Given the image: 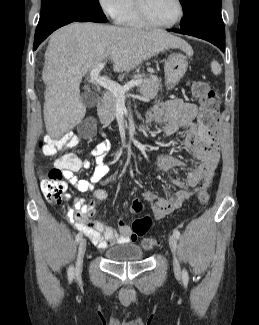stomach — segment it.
Returning a JSON list of instances; mask_svg holds the SVG:
<instances>
[{"instance_id": "stomach-1", "label": "stomach", "mask_w": 259, "mask_h": 325, "mask_svg": "<svg viewBox=\"0 0 259 325\" xmlns=\"http://www.w3.org/2000/svg\"><path fill=\"white\" fill-rule=\"evenodd\" d=\"M188 62L184 55L172 53L164 65L165 84L168 89L176 86L187 70Z\"/></svg>"}]
</instances>
